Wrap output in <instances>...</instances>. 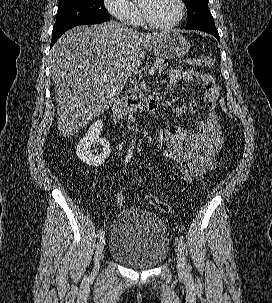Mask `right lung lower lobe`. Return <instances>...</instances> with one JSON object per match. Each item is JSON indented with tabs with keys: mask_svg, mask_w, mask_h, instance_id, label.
Masks as SVG:
<instances>
[{
	"mask_svg": "<svg viewBox=\"0 0 272 303\" xmlns=\"http://www.w3.org/2000/svg\"><path fill=\"white\" fill-rule=\"evenodd\" d=\"M102 22H98V21H84V22H78V23H74V24H70L67 25L65 27L56 29L52 31V41H51V47L54 45V43L60 38V36L66 32L68 29L77 26V25H86V24H99Z\"/></svg>",
	"mask_w": 272,
	"mask_h": 303,
	"instance_id": "obj_1",
	"label": "right lung lower lobe"
}]
</instances>
